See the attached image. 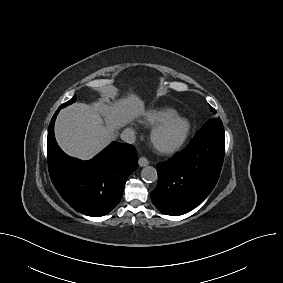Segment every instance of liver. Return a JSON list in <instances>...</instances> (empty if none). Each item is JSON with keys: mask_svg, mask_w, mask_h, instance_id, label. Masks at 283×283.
I'll return each mask as SVG.
<instances>
[{"mask_svg": "<svg viewBox=\"0 0 283 283\" xmlns=\"http://www.w3.org/2000/svg\"><path fill=\"white\" fill-rule=\"evenodd\" d=\"M144 113V102L135 94H128L110 105L74 103L58 115L56 139L68 155L88 160L110 142L115 130Z\"/></svg>", "mask_w": 283, "mask_h": 283, "instance_id": "liver-1", "label": "liver"}]
</instances>
